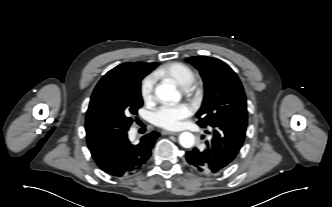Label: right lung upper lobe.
<instances>
[{
  "instance_id": "obj_1",
  "label": "right lung upper lobe",
  "mask_w": 332,
  "mask_h": 207,
  "mask_svg": "<svg viewBox=\"0 0 332 207\" xmlns=\"http://www.w3.org/2000/svg\"><path fill=\"white\" fill-rule=\"evenodd\" d=\"M158 66V63H144V62H129L123 63L114 69L110 70L107 74L103 76L101 80L106 78L117 76L120 74H129L138 70L150 73L154 68Z\"/></svg>"
}]
</instances>
